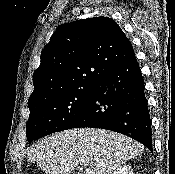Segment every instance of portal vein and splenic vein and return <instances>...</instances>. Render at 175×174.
<instances>
[{"mask_svg":"<svg viewBox=\"0 0 175 174\" xmlns=\"http://www.w3.org/2000/svg\"><path fill=\"white\" fill-rule=\"evenodd\" d=\"M83 166H84V167H87V166H88V164H84Z\"/></svg>","mask_w":175,"mask_h":174,"instance_id":"obj_1","label":"portal vein and splenic vein"}]
</instances>
